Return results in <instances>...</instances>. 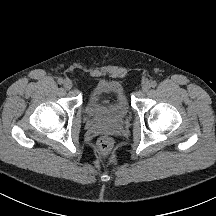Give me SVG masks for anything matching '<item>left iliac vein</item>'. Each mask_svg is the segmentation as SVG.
Returning <instances> with one entry per match:
<instances>
[{"label": "left iliac vein", "mask_w": 216, "mask_h": 216, "mask_svg": "<svg viewBox=\"0 0 216 216\" xmlns=\"http://www.w3.org/2000/svg\"><path fill=\"white\" fill-rule=\"evenodd\" d=\"M150 87H151V86H150L149 83H145V84L142 85V91H143L144 93H146V92L149 91Z\"/></svg>", "instance_id": "obj_1"}]
</instances>
